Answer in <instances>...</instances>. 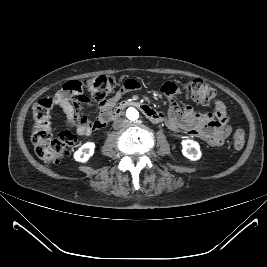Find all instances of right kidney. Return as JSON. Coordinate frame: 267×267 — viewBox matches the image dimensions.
Returning a JSON list of instances; mask_svg holds the SVG:
<instances>
[{
	"mask_svg": "<svg viewBox=\"0 0 267 267\" xmlns=\"http://www.w3.org/2000/svg\"><path fill=\"white\" fill-rule=\"evenodd\" d=\"M95 144L93 142H86L75 153L74 159L79 162H87L94 154Z\"/></svg>",
	"mask_w": 267,
	"mask_h": 267,
	"instance_id": "ca27d5eb",
	"label": "right kidney"
}]
</instances>
